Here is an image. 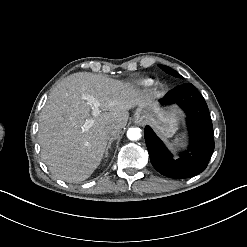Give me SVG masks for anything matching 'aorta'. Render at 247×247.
<instances>
[{
  "instance_id": "aorta-1",
  "label": "aorta",
  "mask_w": 247,
  "mask_h": 247,
  "mask_svg": "<svg viewBox=\"0 0 247 247\" xmlns=\"http://www.w3.org/2000/svg\"><path fill=\"white\" fill-rule=\"evenodd\" d=\"M127 137L132 141L139 140L141 138V130L139 128H129Z\"/></svg>"
}]
</instances>
